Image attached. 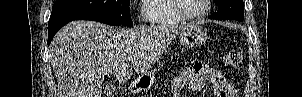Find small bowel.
Here are the masks:
<instances>
[{
    "mask_svg": "<svg viewBox=\"0 0 302 97\" xmlns=\"http://www.w3.org/2000/svg\"><path fill=\"white\" fill-rule=\"evenodd\" d=\"M206 82L212 84L214 97L236 96L234 88L221 72L201 62L193 63L174 78L172 96L179 97L185 88H189L193 92H199Z\"/></svg>",
    "mask_w": 302,
    "mask_h": 97,
    "instance_id": "c3829d8e",
    "label": "small bowel"
}]
</instances>
